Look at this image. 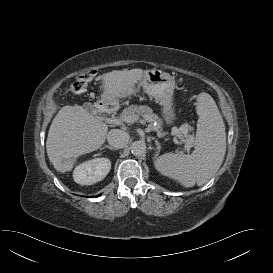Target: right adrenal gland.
Returning a JSON list of instances; mask_svg holds the SVG:
<instances>
[{"label":"right adrenal gland","mask_w":273,"mask_h":273,"mask_svg":"<svg viewBox=\"0 0 273 273\" xmlns=\"http://www.w3.org/2000/svg\"><path fill=\"white\" fill-rule=\"evenodd\" d=\"M105 148H109V149L112 150V151H115V150H116V148H113V147L110 146V145H105L104 147L101 148V150H103V149H105Z\"/></svg>","instance_id":"2a0ac1e0"}]
</instances>
